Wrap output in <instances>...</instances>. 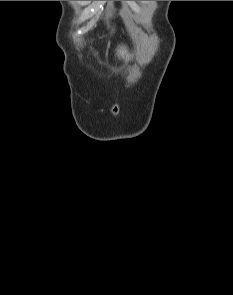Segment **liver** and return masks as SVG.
Returning a JSON list of instances; mask_svg holds the SVG:
<instances>
[{
  "label": "liver",
  "mask_w": 233,
  "mask_h": 295,
  "mask_svg": "<svg viewBox=\"0 0 233 295\" xmlns=\"http://www.w3.org/2000/svg\"><path fill=\"white\" fill-rule=\"evenodd\" d=\"M117 54H118V56L124 57L125 55H127V52H126L125 48H120V49H118Z\"/></svg>",
  "instance_id": "6515ba94"
}]
</instances>
